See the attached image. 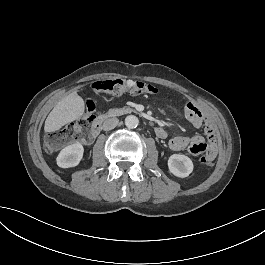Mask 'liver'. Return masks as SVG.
<instances>
[{"instance_id":"liver-1","label":"liver","mask_w":265,"mask_h":265,"mask_svg":"<svg viewBox=\"0 0 265 265\" xmlns=\"http://www.w3.org/2000/svg\"><path fill=\"white\" fill-rule=\"evenodd\" d=\"M85 103L77 92H72L62 98L52 109L44 123V132L59 131L69 122H73L84 114Z\"/></svg>"}]
</instances>
